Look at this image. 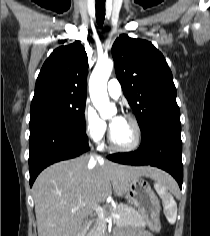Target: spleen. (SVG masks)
I'll list each match as a JSON object with an SVG mask.
<instances>
[{"label": "spleen", "mask_w": 210, "mask_h": 236, "mask_svg": "<svg viewBox=\"0 0 210 236\" xmlns=\"http://www.w3.org/2000/svg\"><path fill=\"white\" fill-rule=\"evenodd\" d=\"M154 187L156 192L162 199L164 213L168 222L174 224L177 217V204L172 194L168 192V190L173 189L174 182L160 180L154 184Z\"/></svg>", "instance_id": "3e777b00"}]
</instances>
